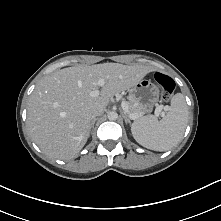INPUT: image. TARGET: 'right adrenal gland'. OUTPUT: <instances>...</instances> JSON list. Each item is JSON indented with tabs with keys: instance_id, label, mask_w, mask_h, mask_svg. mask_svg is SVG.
Returning <instances> with one entry per match:
<instances>
[{
	"instance_id": "2a0ac1e0",
	"label": "right adrenal gland",
	"mask_w": 221,
	"mask_h": 221,
	"mask_svg": "<svg viewBox=\"0 0 221 221\" xmlns=\"http://www.w3.org/2000/svg\"><path fill=\"white\" fill-rule=\"evenodd\" d=\"M95 122H96V118L93 119L91 122L90 132L93 131Z\"/></svg>"
}]
</instances>
